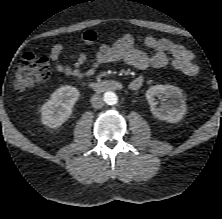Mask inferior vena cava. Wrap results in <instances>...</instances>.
Instances as JSON below:
<instances>
[{"instance_id": "obj_1", "label": "inferior vena cava", "mask_w": 222, "mask_h": 219, "mask_svg": "<svg viewBox=\"0 0 222 219\" xmlns=\"http://www.w3.org/2000/svg\"><path fill=\"white\" fill-rule=\"evenodd\" d=\"M91 104L93 108L100 109L103 107L104 102L100 95L95 94L91 97Z\"/></svg>"}]
</instances>
